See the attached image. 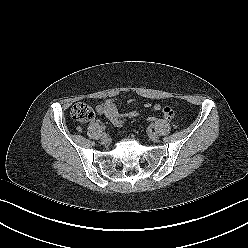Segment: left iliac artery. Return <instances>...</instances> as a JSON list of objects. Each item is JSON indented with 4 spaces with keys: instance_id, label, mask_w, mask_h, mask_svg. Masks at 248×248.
<instances>
[{
    "instance_id": "44dca946",
    "label": "left iliac artery",
    "mask_w": 248,
    "mask_h": 248,
    "mask_svg": "<svg viewBox=\"0 0 248 248\" xmlns=\"http://www.w3.org/2000/svg\"><path fill=\"white\" fill-rule=\"evenodd\" d=\"M151 126L153 127V126H154V124L152 123V124H151Z\"/></svg>"
}]
</instances>
